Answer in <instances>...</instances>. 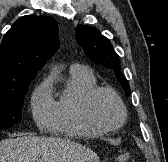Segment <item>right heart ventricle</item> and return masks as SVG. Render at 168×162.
<instances>
[{
	"label": "right heart ventricle",
	"instance_id": "e07e8e85",
	"mask_svg": "<svg viewBox=\"0 0 168 162\" xmlns=\"http://www.w3.org/2000/svg\"><path fill=\"white\" fill-rule=\"evenodd\" d=\"M97 86L92 71L87 68L71 69L65 89L56 101V114L53 129L73 137H93L103 131L93 126L84 113V99L87 93Z\"/></svg>",
	"mask_w": 168,
	"mask_h": 162
}]
</instances>
